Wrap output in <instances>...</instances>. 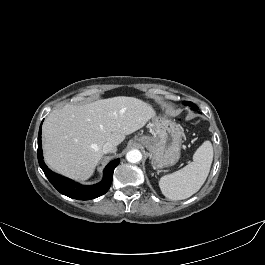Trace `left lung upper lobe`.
I'll use <instances>...</instances> for the list:
<instances>
[{
  "label": "left lung upper lobe",
  "mask_w": 265,
  "mask_h": 265,
  "mask_svg": "<svg viewBox=\"0 0 265 265\" xmlns=\"http://www.w3.org/2000/svg\"><path fill=\"white\" fill-rule=\"evenodd\" d=\"M184 104L190 106L193 110H198V107L192 102H184Z\"/></svg>",
  "instance_id": "5c2ea615"
}]
</instances>
